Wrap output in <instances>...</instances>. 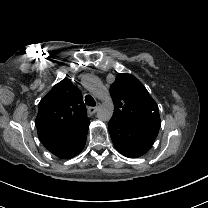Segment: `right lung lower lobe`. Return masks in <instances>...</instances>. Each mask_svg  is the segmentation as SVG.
<instances>
[{
    "instance_id": "98d812e1",
    "label": "right lung lower lobe",
    "mask_w": 208,
    "mask_h": 208,
    "mask_svg": "<svg viewBox=\"0 0 208 208\" xmlns=\"http://www.w3.org/2000/svg\"><path fill=\"white\" fill-rule=\"evenodd\" d=\"M89 128V121L65 135L40 140L52 154L62 159L78 155L84 148Z\"/></svg>"
}]
</instances>
